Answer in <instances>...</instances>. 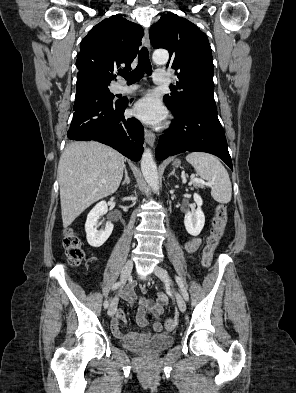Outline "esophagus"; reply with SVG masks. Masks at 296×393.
Returning a JSON list of instances; mask_svg holds the SVG:
<instances>
[{"instance_id": "esophagus-1", "label": "esophagus", "mask_w": 296, "mask_h": 393, "mask_svg": "<svg viewBox=\"0 0 296 393\" xmlns=\"http://www.w3.org/2000/svg\"><path fill=\"white\" fill-rule=\"evenodd\" d=\"M143 42H144V45L149 49L150 48V40H149L148 28L145 29ZM144 137H145L146 143L153 147L154 143H155V139H156L155 134L151 130L145 129Z\"/></svg>"}]
</instances>
